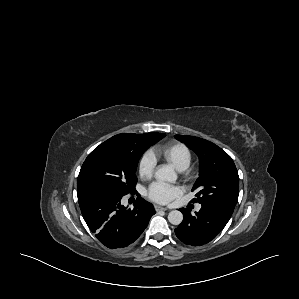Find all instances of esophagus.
Segmentation results:
<instances>
[{"label": "esophagus", "instance_id": "obj_1", "mask_svg": "<svg viewBox=\"0 0 299 299\" xmlns=\"http://www.w3.org/2000/svg\"><path fill=\"white\" fill-rule=\"evenodd\" d=\"M154 208H155L156 211H160V210H162V211H166V210H168V209L165 208V207H161V206H157V205H156Z\"/></svg>", "mask_w": 299, "mask_h": 299}]
</instances>
